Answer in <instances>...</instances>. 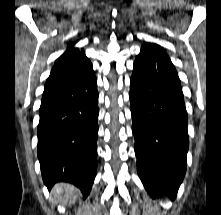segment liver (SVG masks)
<instances>
[{
    "label": "liver",
    "mask_w": 221,
    "mask_h": 215,
    "mask_svg": "<svg viewBox=\"0 0 221 215\" xmlns=\"http://www.w3.org/2000/svg\"><path fill=\"white\" fill-rule=\"evenodd\" d=\"M51 194L53 195V198L57 200V202L64 205H71L77 199L79 191L71 184L58 183L53 187Z\"/></svg>",
    "instance_id": "1"
}]
</instances>
